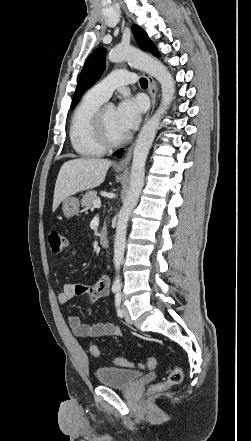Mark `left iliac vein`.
I'll return each instance as SVG.
<instances>
[{"instance_id":"left-iliac-vein-1","label":"left iliac vein","mask_w":251,"mask_h":441,"mask_svg":"<svg viewBox=\"0 0 251 441\" xmlns=\"http://www.w3.org/2000/svg\"><path fill=\"white\" fill-rule=\"evenodd\" d=\"M122 311H123V315H124L125 320L128 323H131V318H130V315H129V312H128V309L126 308V306H122Z\"/></svg>"}]
</instances>
